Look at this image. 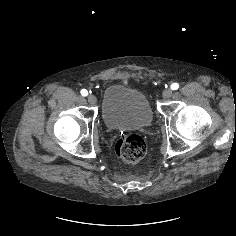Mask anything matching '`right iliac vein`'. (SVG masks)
Instances as JSON below:
<instances>
[{
	"label": "right iliac vein",
	"mask_w": 236,
	"mask_h": 236,
	"mask_svg": "<svg viewBox=\"0 0 236 236\" xmlns=\"http://www.w3.org/2000/svg\"><path fill=\"white\" fill-rule=\"evenodd\" d=\"M87 100L92 105L96 104V102H97V99H96L95 95H93V94H89L87 97Z\"/></svg>",
	"instance_id": "1"
}]
</instances>
